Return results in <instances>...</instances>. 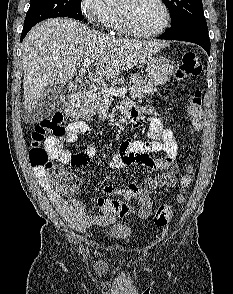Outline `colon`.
Returning <instances> with one entry per match:
<instances>
[{
	"instance_id": "obj_1",
	"label": "colon",
	"mask_w": 233,
	"mask_h": 294,
	"mask_svg": "<svg viewBox=\"0 0 233 294\" xmlns=\"http://www.w3.org/2000/svg\"><path fill=\"white\" fill-rule=\"evenodd\" d=\"M203 66L201 58L196 52H186L181 64L177 69V78L180 80L188 78H199L202 75ZM188 113L193 129L199 131L202 128L204 117L203 112V95L201 90H195L190 97ZM65 132V117L62 112H56L38 122L31 134V148L29 151L30 163L33 167H40L51 172V181L53 186L62 194H73L80 186V178L67 171L62 167H53L52 160L54 150L52 140L61 137ZM192 166L188 165L186 173L180 179L181 191L178 195V201L184 200V194L192 182ZM121 212L124 214H132L133 207L128 204L121 205ZM173 217L172 208L163 204L160 205L153 213V220L157 226L164 227L170 223Z\"/></svg>"
}]
</instances>
